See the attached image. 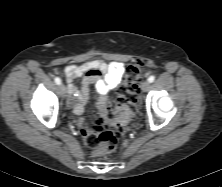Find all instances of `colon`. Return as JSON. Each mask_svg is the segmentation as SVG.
Segmentation results:
<instances>
[{"label": "colon", "instance_id": "colon-1", "mask_svg": "<svg viewBox=\"0 0 222 187\" xmlns=\"http://www.w3.org/2000/svg\"><path fill=\"white\" fill-rule=\"evenodd\" d=\"M142 60L131 63L125 73L124 83L119 89L116 101L109 104L104 112V119L81 130L84 143L92 154H112L118 149L119 140L127 124L141 118L139 111V81ZM107 123L116 127L115 131L107 129Z\"/></svg>", "mask_w": 222, "mask_h": 187}]
</instances>
